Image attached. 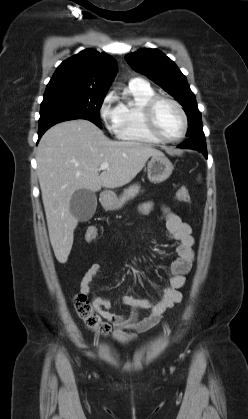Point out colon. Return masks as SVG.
<instances>
[{
  "label": "colon",
  "instance_id": "5ec220e1",
  "mask_svg": "<svg viewBox=\"0 0 248 419\" xmlns=\"http://www.w3.org/2000/svg\"><path fill=\"white\" fill-rule=\"evenodd\" d=\"M176 199L184 204L190 203V193L186 187H181L176 192ZM98 236L97 229L94 227H90L86 231V237L95 240ZM75 308L76 312L79 317L83 320L85 326L99 334V335H107L110 333L111 328L110 326L103 322L100 317L95 313L93 306L91 305L90 301L88 300L87 296L79 293L75 298Z\"/></svg>",
  "mask_w": 248,
  "mask_h": 419
}]
</instances>
